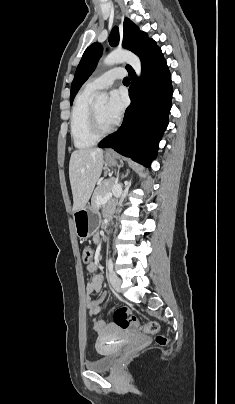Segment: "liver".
<instances>
[{
	"instance_id": "liver-1",
	"label": "liver",
	"mask_w": 235,
	"mask_h": 404,
	"mask_svg": "<svg viewBox=\"0 0 235 404\" xmlns=\"http://www.w3.org/2000/svg\"><path fill=\"white\" fill-rule=\"evenodd\" d=\"M103 150L80 149L72 152L69 179L73 195V212L86 206L103 168Z\"/></svg>"
}]
</instances>
